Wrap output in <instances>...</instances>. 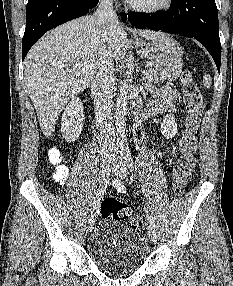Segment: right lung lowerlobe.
I'll use <instances>...</instances> for the list:
<instances>
[{"mask_svg":"<svg viewBox=\"0 0 233 286\" xmlns=\"http://www.w3.org/2000/svg\"><path fill=\"white\" fill-rule=\"evenodd\" d=\"M99 0H29L22 40V60L33 44L48 30L90 12ZM123 22L126 14H121Z\"/></svg>","mask_w":233,"mask_h":286,"instance_id":"right-lung-lower-lobe-1","label":"right lung lower lobe"}]
</instances>
